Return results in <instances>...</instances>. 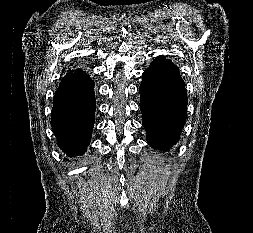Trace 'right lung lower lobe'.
Listing matches in <instances>:
<instances>
[{
	"mask_svg": "<svg viewBox=\"0 0 253 233\" xmlns=\"http://www.w3.org/2000/svg\"><path fill=\"white\" fill-rule=\"evenodd\" d=\"M94 82L80 69L69 71L54 95L52 129L58 146L68 155L84 153L95 117Z\"/></svg>",
	"mask_w": 253,
	"mask_h": 233,
	"instance_id": "right-lung-lower-lobe-1",
	"label": "right lung lower lobe"
}]
</instances>
